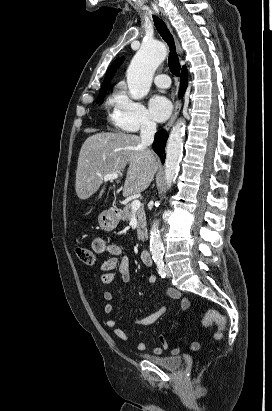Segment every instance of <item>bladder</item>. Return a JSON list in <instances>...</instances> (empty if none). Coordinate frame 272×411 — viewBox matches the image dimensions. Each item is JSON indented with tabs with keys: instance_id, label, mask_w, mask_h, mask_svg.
<instances>
[{
	"instance_id": "1",
	"label": "bladder",
	"mask_w": 272,
	"mask_h": 411,
	"mask_svg": "<svg viewBox=\"0 0 272 411\" xmlns=\"http://www.w3.org/2000/svg\"><path fill=\"white\" fill-rule=\"evenodd\" d=\"M144 358L167 369H178L183 363V358L181 356L149 354L145 355Z\"/></svg>"
}]
</instances>
